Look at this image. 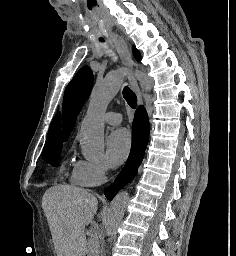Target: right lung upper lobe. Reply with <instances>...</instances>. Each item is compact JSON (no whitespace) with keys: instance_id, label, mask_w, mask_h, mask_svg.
Returning a JSON list of instances; mask_svg holds the SVG:
<instances>
[{"instance_id":"cb5924a9","label":"right lung upper lobe","mask_w":236,"mask_h":256,"mask_svg":"<svg viewBox=\"0 0 236 256\" xmlns=\"http://www.w3.org/2000/svg\"><path fill=\"white\" fill-rule=\"evenodd\" d=\"M57 141H62L61 130H60V112L57 113L51 125V130L46 142H57Z\"/></svg>"}]
</instances>
